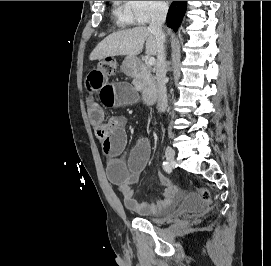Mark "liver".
<instances>
[{"mask_svg":"<svg viewBox=\"0 0 271 266\" xmlns=\"http://www.w3.org/2000/svg\"><path fill=\"white\" fill-rule=\"evenodd\" d=\"M144 44L147 55H157L156 37L148 28L139 26L114 32L96 46L89 58L93 61L110 56L135 57L142 52Z\"/></svg>","mask_w":271,"mask_h":266,"instance_id":"obj_1","label":"liver"}]
</instances>
